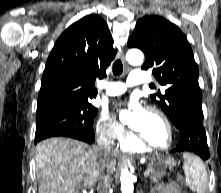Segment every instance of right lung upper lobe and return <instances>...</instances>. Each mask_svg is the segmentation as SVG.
<instances>
[{"mask_svg":"<svg viewBox=\"0 0 221 193\" xmlns=\"http://www.w3.org/2000/svg\"><path fill=\"white\" fill-rule=\"evenodd\" d=\"M116 55L105 21L88 15L67 28L55 43L46 62L38 106L59 102H89L96 97V79Z\"/></svg>","mask_w":221,"mask_h":193,"instance_id":"obj_1","label":"right lung upper lobe"}]
</instances>
